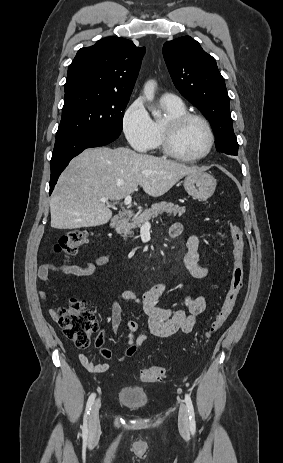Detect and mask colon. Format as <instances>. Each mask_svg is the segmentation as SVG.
I'll list each match as a JSON object with an SVG mask.
<instances>
[{
	"mask_svg": "<svg viewBox=\"0 0 283 463\" xmlns=\"http://www.w3.org/2000/svg\"><path fill=\"white\" fill-rule=\"evenodd\" d=\"M228 229L233 242L231 279L223 303L207 331V338L216 334L228 320L244 284V236L239 226L234 222H228ZM89 235V231L85 229L72 230L63 234L55 244L56 253L64 258L75 255L78 248L87 242ZM56 319L65 334L79 347H86L90 343L92 335L98 331L96 316L85 307L82 301L77 299H72L66 307L59 309L56 313ZM101 343L102 337L99 336L96 340V346L100 347ZM100 351L102 355L109 356L107 349L101 348ZM165 375V368L152 366L142 370L139 377L145 383H155L161 381Z\"/></svg>",
	"mask_w": 283,
	"mask_h": 463,
	"instance_id": "1",
	"label": "colon"
}]
</instances>
